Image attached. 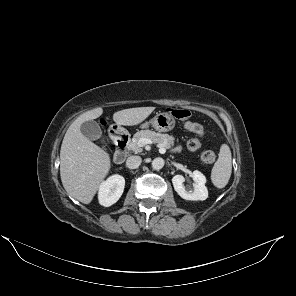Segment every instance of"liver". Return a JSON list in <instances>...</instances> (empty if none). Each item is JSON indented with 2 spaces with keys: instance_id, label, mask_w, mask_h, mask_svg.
Listing matches in <instances>:
<instances>
[{
  "instance_id": "obj_1",
  "label": "liver",
  "mask_w": 296,
  "mask_h": 296,
  "mask_svg": "<svg viewBox=\"0 0 296 296\" xmlns=\"http://www.w3.org/2000/svg\"><path fill=\"white\" fill-rule=\"evenodd\" d=\"M155 107H137L117 111L113 120L117 125L134 126L144 121ZM103 114L101 107L80 115L68 128L60 150V176L67 193L89 204L111 168L109 154L86 138L80 130L85 121Z\"/></svg>"
}]
</instances>
